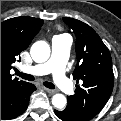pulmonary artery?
I'll use <instances>...</instances> for the list:
<instances>
[{
  "label": "pulmonary artery",
  "instance_id": "e3ab8cb5",
  "mask_svg": "<svg viewBox=\"0 0 121 121\" xmlns=\"http://www.w3.org/2000/svg\"><path fill=\"white\" fill-rule=\"evenodd\" d=\"M71 47V38L68 35H59L52 40V55L47 62L22 67L21 70L31 75L52 74L54 82L65 93H72L73 87L66 77V64Z\"/></svg>",
  "mask_w": 121,
  "mask_h": 121
}]
</instances>
